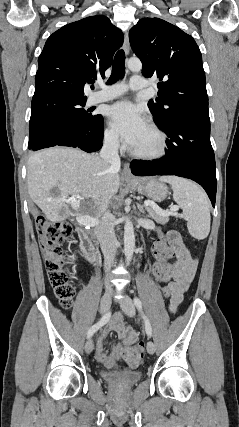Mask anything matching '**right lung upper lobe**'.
Listing matches in <instances>:
<instances>
[{"label":"right lung upper lobe","instance_id":"1","mask_svg":"<svg viewBox=\"0 0 239 427\" xmlns=\"http://www.w3.org/2000/svg\"><path fill=\"white\" fill-rule=\"evenodd\" d=\"M123 39L106 16L87 17L60 28L48 38L38 58L33 99L52 95L87 99L84 85L104 76Z\"/></svg>","mask_w":239,"mask_h":427}]
</instances>
